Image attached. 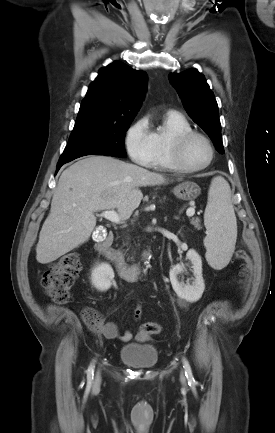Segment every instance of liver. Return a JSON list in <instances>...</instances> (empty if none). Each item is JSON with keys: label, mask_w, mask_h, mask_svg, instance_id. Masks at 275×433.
Listing matches in <instances>:
<instances>
[{"label": "liver", "mask_w": 275, "mask_h": 433, "mask_svg": "<svg viewBox=\"0 0 275 433\" xmlns=\"http://www.w3.org/2000/svg\"><path fill=\"white\" fill-rule=\"evenodd\" d=\"M167 182L159 173L109 156L77 161L59 178L39 234L37 261L51 263L86 242L96 226L95 212L117 209L128 219L143 198L139 187Z\"/></svg>", "instance_id": "obj_1"}]
</instances>
